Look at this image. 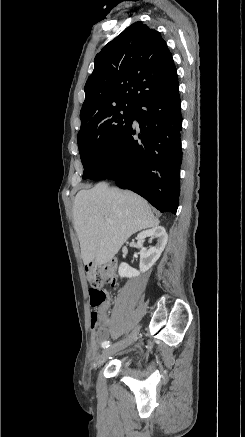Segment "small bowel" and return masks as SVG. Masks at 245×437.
Here are the masks:
<instances>
[{
	"instance_id": "obj_1",
	"label": "small bowel",
	"mask_w": 245,
	"mask_h": 437,
	"mask_svg": "<svg viewBox=\"0 0 245 437\" xmlns=\"http://www.w3.org/2000/svg\"><path fill=\"white\" fill-rule=\"evenodd\" d=\"M106 311H107V307H103V309H102V313H103V315L106 313ZM90 324H91V328H92V329H95L96 324L93 323L92 319H90ZM107 335H108V332H107L106 329H105V334H104V336H102V337H100V338H97V337H95V335H94L93 348H94L95 350L97 349V346H98L99 342H100L101 340H103L104 338H106Z\"/></svg>"
}]
</instances>
